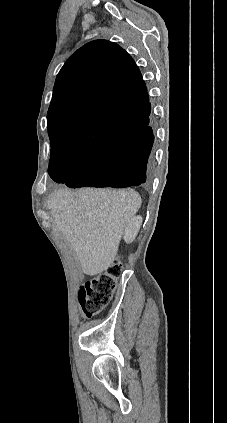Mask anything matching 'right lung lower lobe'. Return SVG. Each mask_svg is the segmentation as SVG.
I'll return each instance as SVG.
<instances>
[{
	"mask_svg": "<svg viewBox=\"0 0 227 423\" xmlns=\"http://www.w3.org/2000/svg\"><path fill=\"white\" fill-rule=\"evenodd\" d=\"M98 112L109 120L128 121L132 130L125 138L86 153L74 171L67 160L49 163L50 177L70 188L147 186L155 167L149 97L104 106Z\"/></svg>",
	"mask_w": 227,
	"mask_h": 423,
	"instance_id": "obj_1",
	"label": "right lung lower lobe"
}]
</instances>
